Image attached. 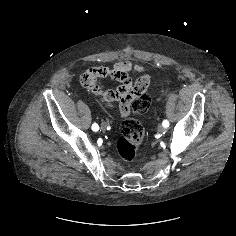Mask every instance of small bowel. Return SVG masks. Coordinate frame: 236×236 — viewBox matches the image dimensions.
Segmentation results:
<instances>
[{"label": "small bowel", "instance_id": "small-bowel-1", "mask_svg": "<svg viewBox=\"0 0 236 236\" xmlns=\"http://www.w3.org/2000/svg\"><path fill=\"white\" fill-rule=\"evenodd\" d=\"M143 73L142 66L128 60L118 61L110 67H92L80 74V83L83 87L97 94L104 102L111 103L118 100V112L126 115L129 107L145 92L149 83L146 75L139 76L133 72ZM98 78H110L120 83L119 87L104 91L99 84ZM136 80V81H135Z\"/></svg>", "mask_w": 236, "mask_h": 236}]
</instances>
